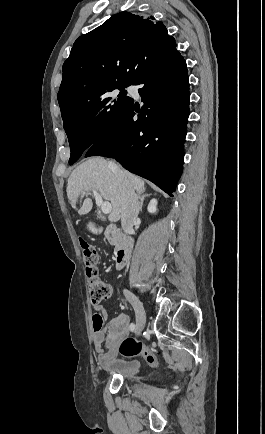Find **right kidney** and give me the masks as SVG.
<instances>
[{"instance_id":"1","label":"right kidney","mask_w":265,"mask_h":434,"mask_svg":"<svg viewBox=\"0 0 265 434\" xmlns=\"http://www.w3.org/2000/svg\"><path fill=\"white\" fill-rule=\"evenodd\" d=\"M157 204L158 202L155 200V198L154 200H150L147 208L149 214H155V212H157Z\"/></svg>"}]
</instances>
